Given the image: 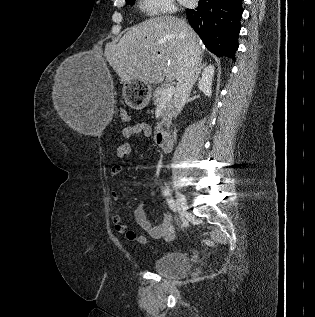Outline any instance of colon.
<instances>
[{
  "instance_id": "1",
  "label": "colon",
  "mask_w": 315,
  "mask_h": 317,
  "mask_svg": "<svg viewBox=\"0 0 315 317\" xmlns=\"http://www.w3.org/2000/svg\"><path fill=\"white\" fill-rule=\"evenodd\" d=\"M121 115H122V118H123V119L128 120V116H127V114H126L125 111H122Z\"/></svg>"
}]
</instances>
